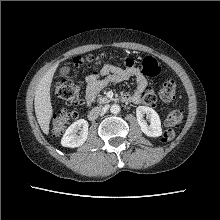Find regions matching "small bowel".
I'll list each match as a JSON object with an SVG mask.
<instances>
[{
    "mask_svg": "<svg viewBox=\"0 0 220 220\" xmlns=\"http://www.w3.org/2000/svg\"><path fill=\"white\" fill-rule=\"evenodd\" d=\"M131 77L136 78V89L132 94L124 93L122 100L142 104L143 96L147 89V80L139 69L128 61L125 68L104 67L99 71L93 72L86 78L85 99L87 106H90L96 101L98 92L104 83H120Z\"/></svg>",
    "mask_w": 220,
    "mask_h": 220,
    "instance_id": "1",
    "label": "small bowel"
}]
</instances>
